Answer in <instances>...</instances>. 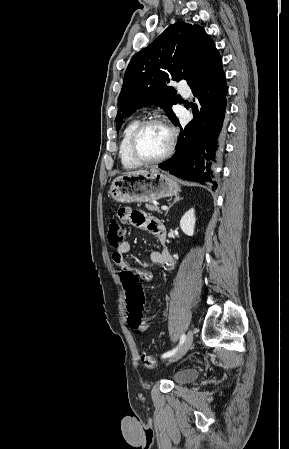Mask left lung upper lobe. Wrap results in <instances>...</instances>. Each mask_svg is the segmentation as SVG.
I'll return each mask as SVG.
<instances>
[{
	"mask_svg": "<svg viewBox=\"0 0 289 449\" xmlns=\"http://www.w3.org/2000/svg\"><path fill=\"white\" fill-rule=\"evenodd\" d=\"M214 49V42L200 26L183 21L170 25L132 57L118 98L116 129L123 116L150 104L160 106L174 123L172 105L177 103V93L168 84L182 79L190 84Z\"/></svg>",
	"mask_w": 289,
	"mask_h": 449,
	"instance_id": "obj_1",
	"label": "left lung upper lobe"
}]
</instances>
